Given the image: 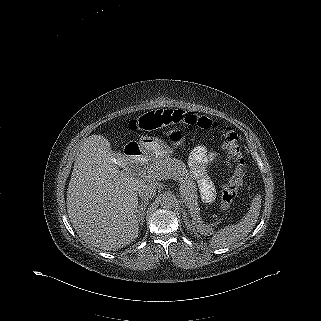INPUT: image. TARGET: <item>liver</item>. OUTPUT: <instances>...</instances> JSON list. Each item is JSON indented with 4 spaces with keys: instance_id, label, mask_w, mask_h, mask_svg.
Segmentation results:
<instances>
[{
    "instance_id": "obj_1",
    "label": "liver",
    "mask_w": 321,
    "mask_h": 321,
    "mask_svg": "<svg viewBox=\"0 0 321 321\" xmlns=\"http://www.w3.org/2000/svg\"><path fill=\"white\" fill-rule=\"evenodd\" d=\"M128 161L112 152L105 137L91 135L74 163L67 212L77 234L103 250H117L138 236L137 193L145 180L119 170Z\"/></svg>"
}]
</instances>
